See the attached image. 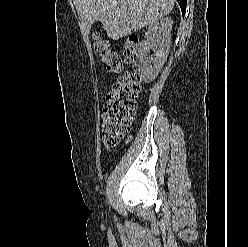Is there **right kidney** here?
<instances>
[{"instance_id":"obj_1","label":"right kidney","mask_w":248,"mask_h":247,"mask_svg":"<svg viewBox=\"0 0 248 247\" xmlns=\"http://www.w3.org/2000/svg\"><path fill=\"white\" fill-rule=\"evenodd\" d=\"M171 18H161L152 23L139 45L138 55L140 60L141 79L149 83L153 81L161 67L166 62L171 45ZM152 55H148L150 51Z\"/></svg>"}]
</instances>
